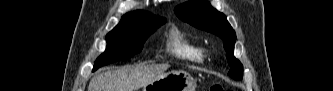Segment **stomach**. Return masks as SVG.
<instances>
[{
	"mask_svg": "<svg viewBox=\"0 0 333 91\" xmlns=\"http://www.w3.org/2000/svg\"><path fill=\"white\" fill-rule=\"evenodd\" d=\"M195 88V80L186 71L172 70L143 86V91H195Z\"/></svg>",
	"mask_w": 333,
	"mask_h": 91,
	"instance_id": "obj_1",
	"label": "stomach"
}]
</instances>
